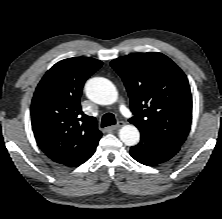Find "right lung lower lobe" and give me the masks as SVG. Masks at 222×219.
<instances>
[{
  "instance_id": "right-lung-lower-lobe-1",
  "label": "right lung lower lobe",
  "mask_w": 222,
  "mask_h": 219,
  "mask_svg": "<svg viewBox=\"0 0 222 219\" xmlns=\"http://www.w3.org/2000/svg\"><path fill=\"white\" fill-rule=\"evenodd\" d=\"M93 153H94V152H93ZM93 153L89 156V158L93 155ZM89 158H88V159H89ZM86 160H87V159H86ZM86 160H85V161H86ZM85 161H84V162H85ZM84 162H83V163H84Z\"/></svg>"
}]
</instances>
